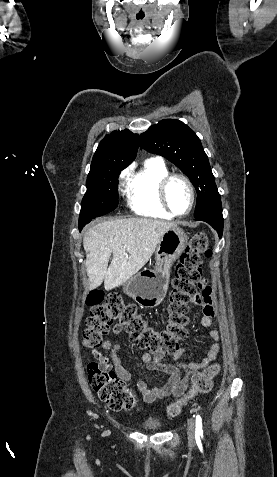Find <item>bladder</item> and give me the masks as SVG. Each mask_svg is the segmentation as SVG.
Listing matches in <instances>:
<instances>
[{"label":"bladder","mask_w":277,"mask_h":477,"mask_svg":"<svg viewBox=\"0 0 277 477\" xmlns=\"http://www.w3.org/2000/svg\"><path fill=\"white\" fill-rule=\"evenodd\" d=\"M144 427L151 430H159L162 428V424L158 419L151 418L144 423Z\"/></svg>","instance_id":"31cf9c89"}]
</instances>
